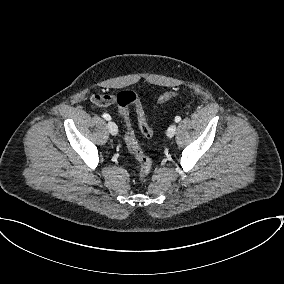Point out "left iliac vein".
<instances>
[{"instance_id":"4c4485c4","label":"left iliac vein","mask_w":284,"mask_h":284,"mask_svg":"<svg viewBox=\"0 0 284 284\" xmlns=\"http://www.w3.org/2000/svg\"><path fill=\"white\" fill-rule=\"evenodd\" d=\"M176 130H177V126L175 124L170 125L166 133L167 137L172 138L175 135Z\"/></svg>"}]
</instances>
